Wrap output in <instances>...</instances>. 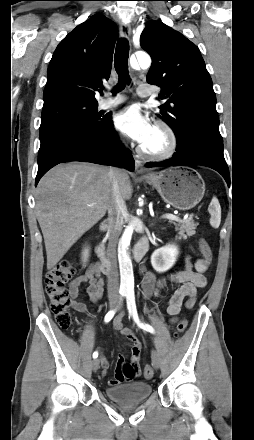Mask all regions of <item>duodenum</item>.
Wrapping results in <instances>:
<instances>
[{
	"instance_id": "410a0bca",
	"label": "duodenum",
	"mask_w": 254,
	"mask_h": 440,
	"mask_svg": "<svg viewBox=\"0 0 254 440\" xmlns=\"http://www.w3.org/2000/svg\"><path fill=\"white\" fill-rule=\"evenodd\" d=\"M111 226V221L101 223L100 230L106 231ZM149 240L147 237L142 238L134 247L133 257L135 261H140L148 251ZM96 254L100 259L99 269L105 274H111V264L107 258L106 248L103 243L97 242L95 247Z\"/></svg>"
}]
</instances>
